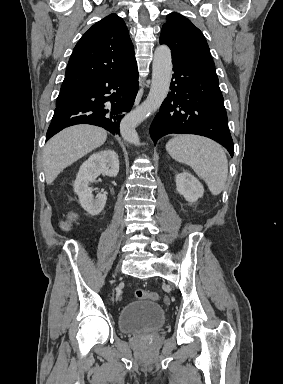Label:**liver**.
Returning <instances> with one entry per match:
<instances>
[{"label":"liver","mask_w":283,"mask_h":384,"mask_svg":"<svg viewBox=\"0 0 283 384\" xmlns=\"http://www.w3.org/2000/svg\"><path fill=\"white\" fill-rule=\"evenodd\" d=\"M106 140V130L96 126H72L53 136L47 142L43 154L46 184H52L64 168L95 148H100Z\"/></svg>","instance_id":"obj_1"}]
</instances>
